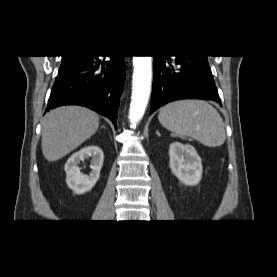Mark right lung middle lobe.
I'll return each instance as SVG.
<instances>
[{
  "mask_svg": "<svg viewBox=\"0 0 277 277\" xmlns=\"http://www.w3.org/2000/svg\"><path fill=\"white\" fill-rule=\"evenodd\" d=\"M82 56H63L62 57V63L59 69L58 73L63 72L65 69H67L69 66L74 64L77 60H79Z\"/></svg>",
  "mask_w": 277,
  "mask_h": 277,
  "instance_id": "right-lung-middle-lobe-1",
  "label": "right lung middle lobe"
}]
</instances>
